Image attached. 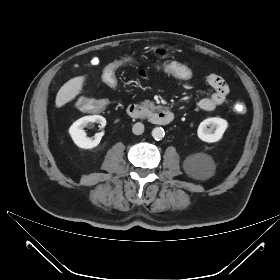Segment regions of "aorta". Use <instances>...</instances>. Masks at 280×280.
Listing matches in <instances>:
<instances>
[{"mask_svg": "<svg viewBox=\"0 0 280 280\" xmlns=\"http://www.w3.org/2000/svg\"><path fill=\"white\" fill-rule=\"evenodd\" d=\"M164 135H165L164 129L161 127H155L152 130V137L155 140H161L164 137Z\"/></svg>", "mask_w": 280, "mask_h": 280, "instance_id": "762f6f07", "label": "aorta"}]
</instances>
